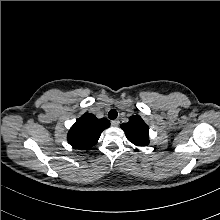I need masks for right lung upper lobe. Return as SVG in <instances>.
Listing matches in <instances>:
<instances>
[{
  "mask_svg": "<svg viewBox=\"0 0 220 220\" xmlns=\"http://www.w3.org/2000/svg\"><path fill=\"white\" fill-rule=\"evenodd\" d=\"M110 126L106 118L98 119L91 113H85L68 132V143L78 149L88 150L94 146L102 131Z\"/></svg>",
  "mask_w": 220,
  "mask_h": 220,
  "instance_id": "cb5924a9",
  "label": "right lung upper lobe"
}]
</instances>
